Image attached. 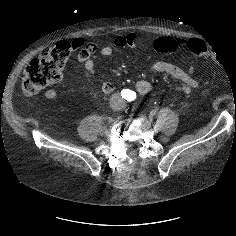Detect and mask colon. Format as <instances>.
I'll return each mask as SVG.
<instances>
[{
    "label": "colon",
    "mask_w": 236,
    "mask_h": 236,
    "mask_svg": "<svg viewBox=\"0 0 236 236\" xmlns=\"http://www.w3.org/2000/svg\"><path fill=\"white\" fill-rule=\"evenodd\" d=\"M161 53L173 52L178 48L175 40L159 38L154 43ZM190 51L197 56H207V46L202 40L191 39ZM72 52L68 42H58L43 50L39 58L31 60L21 78V88L26 95H35L49 85L59 82L67 60Z\"/></svg>",
    "instance_id": "1"
}]
</instances>
